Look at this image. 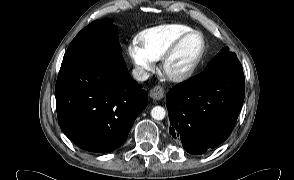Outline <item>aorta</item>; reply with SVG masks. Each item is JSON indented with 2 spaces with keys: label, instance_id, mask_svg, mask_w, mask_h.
Returning a JSON list of instances; mask_svg holds the SVG:
<instances>
[{
  "label": "aorta",
  "instance_id": "aorta-1",
  "mask_svg": "<svg viewBox=\"0 0 294 180\" xmlns=\"http://www.w3.org/2000/svg\"><path fill=\"white\" fill-rule=\"evenodd\" d=\"M166 115V111L161 106H155L151 110V116L155 120H163Z\"/></svg>",
  "mask_w": 294,
  "mask_h": 180
}]
</instances>
